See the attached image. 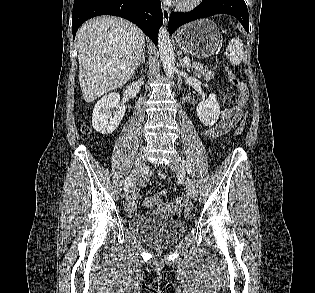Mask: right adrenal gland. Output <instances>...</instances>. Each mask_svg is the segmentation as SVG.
Here are the masks:
<instances>
[{
  "instance_id": "obj_1",
  "label": "right adrenal gland",
  "mask_w": 315,
  "mask_h": 293,
  "mask_svg": "<svg viewBox=\"0 0 315 293\" xmlns=\"http://www.w3.org/2000/svg\"><path fill=\"white\" fill-rule=\"evenodd\" d=\"M144 62H145V51L143 52L142 57H141L139 63L137 64V68H139L140 65L143 64Z\"/></svg>"
}]
</instances>
